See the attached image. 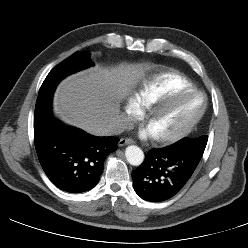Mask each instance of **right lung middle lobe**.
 <instances>
[{"label": "right lung middle lobe", "instance_id": "1", "mask_svg": "<svg viewBox=\"0 0 248 248\" xmlns=\"http://www.w3.org/2000/svg\"><path fill=\"white\" fill-rule=\"evenodd\" d=\"M90 65H92V63L88 53H74L50 71L44 80L39 93L54 92L57 84L64 77Z\"/></svg>", "mask_w": 248, "mask_h": 248}]
</instances>
